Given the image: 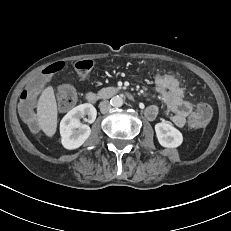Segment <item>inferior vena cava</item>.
I'll use <instances>...</instances> for the list:
<instances>
[{"mask_svg":"<svg viewBox=\"0 0 231 231\" xmlns=\"http://www.w3.org/2000/svg\"><path fill=\"white\" fill-rule=\"evenodd\" d=\"M99 107L102 114H105L111 110V104L107 100L102 101Z\"/></svg>","mask_w":231,"mask_h":231,"instance_id":"inferior-vena-cava-1","label":"inferior vena cava"}]
</instances>
